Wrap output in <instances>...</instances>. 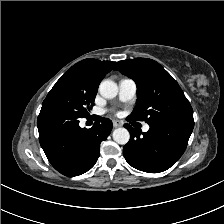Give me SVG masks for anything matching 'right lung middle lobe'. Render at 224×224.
Returning <instances> with one entry per match:
<instances>
[{"label": "right lung middle lobe", "mask_w": 224, "mask_h": 224, "mask_svg": "<svg viewBox=\"0 0 224 224\" xmlns=\"http://www.w3.org/2000/svg\"><path fill=\"white\" fill-rule=\"evenodd\" d=\"M96 94V87L65 73L48 93L42 108L57 109L84 118L94 105Z\"/></svg>", "instance_id": "right-lung-middle-lobe-1"}]
</instances>
